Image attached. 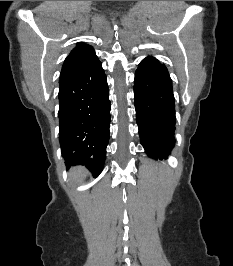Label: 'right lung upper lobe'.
Instances as JSON below:
<instances>
[{
  "instance_id": "obj_1",
  "label": "right lung upper lobe",
  "mask_w": 233,
  "mask_h": 266,
  "mask_svg": "<svg viewBox=\"0 0 233 266\" xmlns=\"http://www.w3.org/2000/svg\"><path fill=\"white\" fill-rule=\"evenodd\" d=\"M94 56L95 51L90 45L84 44L82 42L77 43L76 47L65 59L60 77L78 69Z\"/></svg>"
}]
</instances>
